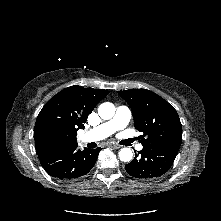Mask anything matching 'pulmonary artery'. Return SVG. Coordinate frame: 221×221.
Listing matches in <instances>:
<instances>
[{
  "instance_id": "obj_1",
  "label": "pulmonary artery",
  "mask_w": 221,
  "mask_h": 221,
  "mask_svg": "<svg viewBox=\"0 0 221 221\" xmlns=\"http://www.w3.org/2000/svg\"><path fill=\"white\" fill-rule=\"evenodd\" d=\"M131 117L132 114L128 107L119 106L112 119L85 132L82 135V140L84 142L103 140L112 135L114 132L124 129L130 122ZM136 148L137 150H141L143 147L141 144H138Z\"/></svg>"
}]
</instances>
